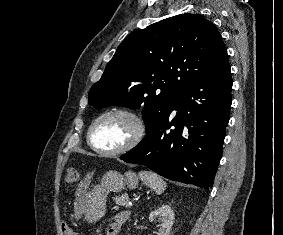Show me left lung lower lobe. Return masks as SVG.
Instances as JSON below:
<instances>
[{
	"instance_id": "0a47b994",
	"label": "left lung lower lobe",
	"mask_w": 283,
	"mask_h": 235,
	"mask_svg": "<svg viewBox=\"0 0 283 235\" xmlns=\"http://www.w3.org/2000/svg\"><path fill=\"white\" fill-rule=\"evenodd\" d=\"M231 90L227 61L188 83L166 117L120 159L145 165L167 179L209 189L222 154Z\"/></svg>"
}]
</instances>
